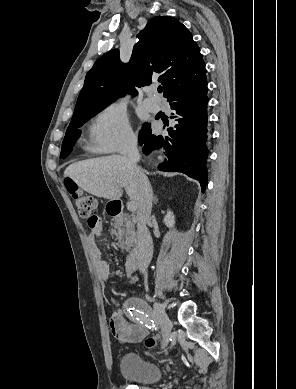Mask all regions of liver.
I'll return each mask as SVG.
<instances>
[{"label":"liver","instance_id":"obj_1","mask_svg":"<svg viewBox=\"0 0 296 389\" xmlns=\"http://www.w3.org/2000/svg\"><path fill=\"white\" fill-rule=\"evenodd\" d=\"M64 177H70L86 192L105 199L116 200L125 188L130 199L139 204L138 178L127 157L111 155L78 161L69 165Z\"/></svg>","mask_w":296,"mask_h":389}]
</instances>
